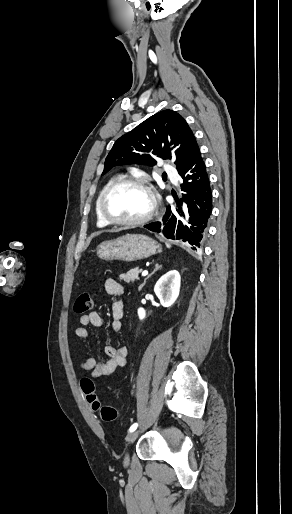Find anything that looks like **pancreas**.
Wrapping results in <instances>:
<instances>
[{
    "label": "pancreas",
    "mask_w": 292,
    "mask_h": 514,
    "mask_svg": "<svg viewBox=\"0 0 292 514\" xmlns=\"http://www.w3.org/2000/svg\"><path fill=\"white\" fill-rule=\"evenodd\" d=\"M139 268H134V270H129L126 274H121L120 280H124V282H135V280H139Z\"/></svg>",
    "instance_id": "obj_1"
}]
</instances>
